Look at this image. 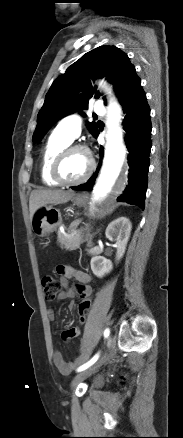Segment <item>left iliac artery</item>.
Returning <instances> with one entry per match:
<instances>
[{
    "label": "left iliac artery",
    "instance_id": "1",
    "mask_svg": "<svg viewBox=\"0 0 183 438\" xmlns=\"http://www.w3.org/2000/svg\"><path fill=\"white\" fill-rule=\"evenodd\" d=\"M109 334H110V330H109V328L105 329V331H104V337L107 338V337L109 336ZM98 358H99V353L95 354V355L93 356V358H92L90 361H88L87 363L81 365V366L77 369V372H81V371L86 370L88 367H90L91 365H93V364L98 360Z\"/></svg>",
    "mask_w": 183,
    "mask_h": 438
}]
</instances>
